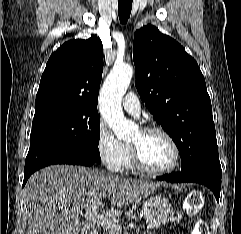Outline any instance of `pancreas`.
Here are the masks:
<instances>
[{"mask_svg":"<svg viewBox=\"0 0 241 234\" xmlns=\"http://www.w3.org/2000/svg\"><path fill=\"white\" fill-rule=\"evenodd\" d=\"M106 234H121V229H117V230L108 229L106 231ZM146 234H156V233L155 232H147Z\"/></svg>","mask_w":241,"mask_h":234,"instance_id":"cf45deb5","label":"pancreas"}]
</instances>
